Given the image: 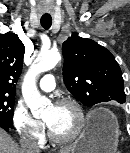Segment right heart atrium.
<instances>
[{
  "mask_svg": "<svg viewBox=\"0 0 130 153\" xmlns=\"http://www.w3.org/2000/svg\"><path fill=\"white\" fill-rule=\"evenodd\" d=\"M12 124L22 139L32 140L37 143L44 141V123L33 117L28 108L21 102L17 103L13 109Z\"/></svg>",
  "mask_w": 130,
  "mask_h": 153,
  "instance_id": "d8ad5b80",
  "label": "right heart atrium"
}]
</instances>
